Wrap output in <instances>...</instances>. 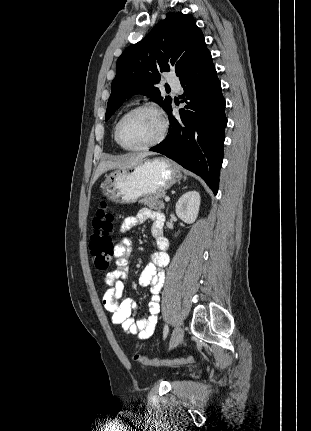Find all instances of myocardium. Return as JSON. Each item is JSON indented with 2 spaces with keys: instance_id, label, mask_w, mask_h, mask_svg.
I'll use <instances>...</instances> for the list:
<instances>
[{
  "instance_id": "f54148a6",
  "label": "myocardium",
  "mask_w": 311,
  "mask_h": 431,
  "mask_svg": "<svg viewBox=\"0 0 311 431\" xmlns=\"http://www.w3.org/2000/svg\"><path fill=\"white\" fill-rule=\"evenodd\" d=\"M143 110H149V111H153L155 112L161 119V123H162V130L161 133L159 134V136L157 138H155L153 141L142 145V146H137V147H131L125 144L123 138H122V134H121V126L123 124V122L130 117L131 115L139 112V111H143ZM168 120L166 118V116L164 115V113L155 105L153 104H141L138 106H135L133 108H130L129 110H127L125 113H123L120 118L118 119V121L116 122L115 125V134H116V138L120 144L121 147H123L126 150H130V151H140V150H147L150 149L152 147L157 146L158 144H160L164 138L166 137L167 133H168Z\"/></svg>"
}]
</instances>
